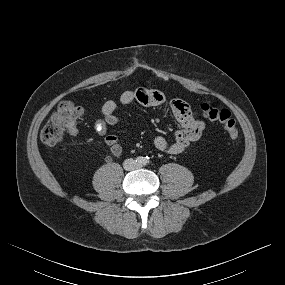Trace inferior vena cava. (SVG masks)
<instances>
[{
	"label": "inferior vena cava",
	"instance_id": "1",
	"mask_svg": "<svg viewBox=\"0 0 285 285\" xmlns=\"http://www.w3.org/2000/svg\"><path fill=\"white\" fill-rule=\"evenodd\" d=\"M124 167L127 170H132L135 168V161L133 159H127L124 163Z\"/></svg>",
	"mask_w": 285,
	"mask_h": 285
}]
</instances>
